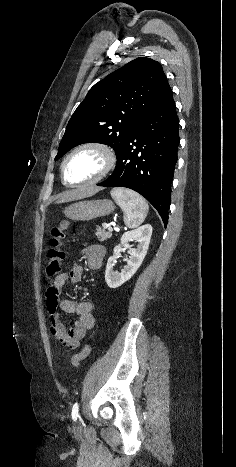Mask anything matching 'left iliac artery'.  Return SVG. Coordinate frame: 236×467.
<instances>
[{
  "mask_svg": "<svg viewBox=\"0 0 236 467\" xmlns=\"http://www.w3.org/2000/svg\"><path fill=\"white\" fill-rule=\"evenodd\" d=\"M78 411H79V405H78V403L76 402V403L73 405V407H72V419H73L74 421H76L77 418H78V416H79V415H78Z\"/></svg>",
  "mask_w": 236,
  "mask_h": 467,
  "instance_id": "1",
  "label": "left iliac artery"
}]
</instances>
